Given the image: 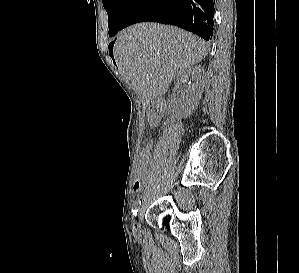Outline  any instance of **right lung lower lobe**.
Listing matches in <instances>:
<instances>
[{
  "label": "right lung lower lobe",
  "mask_w": 299,
  "mask_h": 273,
  "mask_svg": "<svg viewBox=\"0 0 299 273\" xmlns=\"http://www.w3.org/2000/svg\"><path fill=\"white\" fill-rule=\"evenodd\" d=\"M214 0H134L119 30L139 22L170 24L210 41L214 31Z\"/></svg>",
  "instance_id": "right-lung-lower-lobe-1"
}]
</instances>
